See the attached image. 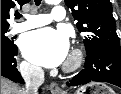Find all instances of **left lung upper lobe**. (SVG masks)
<instances>
[{
  "mask_svg": "<svg viewBox=\"0 0 121 94\" xmlns=\"http://www.w3.org/2000/svg\"><path fill=\"white\" fill-rule=\"evenodd\" d=\"M65 3L78 21V30L87 34L84 39L87 53L121 52L110 0H65Z\"/></svg>",
  "mask_w": 121,
  "mask_h": 94,
  "instance_id": "5c2ea615",
  "label": "left lung upper lobe"
}]
</instances>
